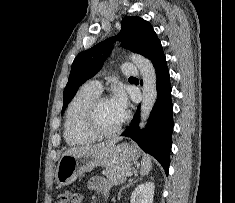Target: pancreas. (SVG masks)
Here are the masks:
<instances>
[{
  "label": "pancreas",
  "instance_id": "1",
  "mask_svg": "<svg viewBox=\"0 0 235 203\" xmlns=\"http://www.w3.org/2000/svg\"><path fill=\"white\" fill-rule=\"evenodd\" d=\"M130 164L108 166L102 171L109 182L113 185H118L126 180V173L130 170Z\"/></svg>",
  "mask_w": 235,
  "mask_h": 203
}]
</instances>
